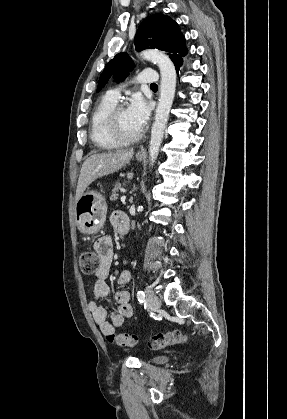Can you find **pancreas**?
I'll use <instances>...</instances> for the list:
<instances>
[{
	"instance_id": "pancreas-1",
	"label": "pancreas",
	"mask_w": 287,
	"mask_h": 419,
	"mask_svg": "<svg viewBox=\"0 0 287 419\" xmlns=\"http://www.w3.org/2000/svg\"><path fill=\"white\" fill-rule=\"evenodd\" d=\"M120 187H121V184L119 182H116L114 187H113L112 194L110 196V200L115 201V200L118 199L117 191L120 189Z\"/></svg>"
}]
</instances>
